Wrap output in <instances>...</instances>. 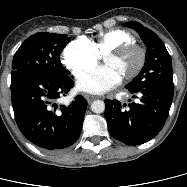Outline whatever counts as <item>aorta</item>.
I'll use <instances>...</instances> for the list:
<instances>
[{
	"mask_svg": "<svg viewBox=\"0 0 187 187\" xmlns=\"http://www.w3.org/2000/svg\"><path fill=\"white\" fill-rule=\"evenodd\" d=\"M91 110L94 113H102L105 110V103L102 100L93 101L91 104Z\"/></svg>",
	"mask_w": 187,
	"mask_h": 187,
	"instance_id": "1",
	"label": "aorta"
}]
</instances>
